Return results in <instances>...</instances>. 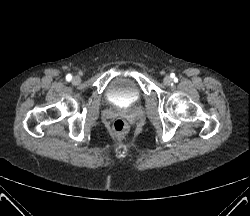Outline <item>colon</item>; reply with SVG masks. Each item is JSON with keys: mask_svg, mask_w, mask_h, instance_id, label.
<instances>
[{"mask_svg": "<svg viewBox=\"0 0 250 216\" xmlns=\"http://www.w3.org/2000/svg\"><path fill=\"white\" fill-rule=\"evenodd\" d=\"M113 131L119 139H123L128 132V125L125 120L118 118L113 123Z\"/></svg>", "mask_w": 250, "mask_h": 216, "instance_id": "obj_1", "label": "colon"}]
</instances>
